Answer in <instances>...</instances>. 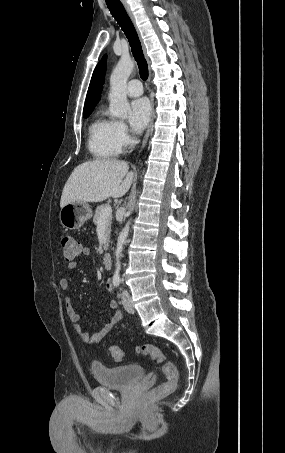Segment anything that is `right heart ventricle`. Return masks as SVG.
I'll use <instances>...</instances> for the list:
<instances>
[{"instance_id":"right-heart-ventricle-1","label":"right heart ventricle","mask_w":285,"mask_h":453,"mask_svg":"<svg viewBox=\"0 0 285 453\" xmlns=\"http://www.w3.org/2000/svg\"><path fill=\"white\" fill-rule=\"evenodd\" d=\"M88 148L98 159L116 157L121 147L116 136V122L100 110L96 113L88 131Z\"/></svg>"}]
</instances>
